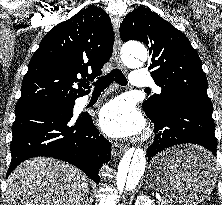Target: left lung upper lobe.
Here are the masks:
<instances>
[{"label": "left lung upper lobe", "mask_w": 222, "mask_h": 205, "mask_svg": "<svg viewBox=\"0 0 222 205\" xmlns=\"http://www.w3.org/2000/svg\"><path fill=\"white\" fill-rule=\"evenodd\" d=\"M121 40L145 43L152 55L151 75L161 94L143 103L145 113L158 118L170 100L192 97L211 102L207 95V78L201 60L189 39L173 25L148 8L130 12L120 25Z\"/></svg>", "instance_id": "obj_1"}]
</instances>
